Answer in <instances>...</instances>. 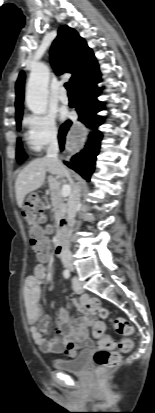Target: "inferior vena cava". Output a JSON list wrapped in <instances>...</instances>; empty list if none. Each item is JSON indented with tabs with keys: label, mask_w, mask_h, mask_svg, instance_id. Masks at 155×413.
<instances>
[{
	"label": "inferior vena cava",
	"mask_w": 155,
	"mask_h": 413,
	"mask_svg": "<svg viewBox=\"0 0 155 413\" xmlns=\"http://www.w3.org/2000/svg\"><path fill=\"white\" fill-rule=\"evenodd\" d=\"M58 152H59L58 139H57V136L54 135L51 138L49 146L47 148L46 158L52 165L58 168L62 176H65L71 180L70 172L63 166V164L58 158ZM79 206H80V188L79 186L74 185L73 192L70 195L69 200H68L67 222L69 226L73 225L74 217L76 215V212ZM61 260L65 267H67L71 271L74 270L73 257H72L68 244H66L62 250Z\"/></svg>",
	"instance_id": "1"
}]
</instances>
